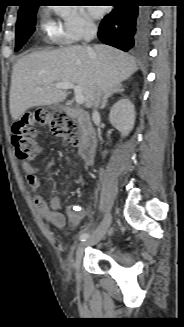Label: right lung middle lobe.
<instances>
[{"mask_svg": "<svg viewBox=\"0 0 184 327\" xmlns=\"http://www.w3.org/2000/svg\"><path fill=\"white\" fill-rule=\"evenodd\" d=\"M38 7L19 11L16 24L15 51H18L35 31L36 12Z\"/></svg>", "mask_w": 184, "mask_h": 327, "instance_id": "dd1d6c3e", "label": "right lung middle lobe"}]
</instances>
